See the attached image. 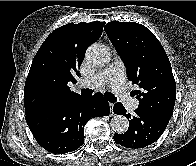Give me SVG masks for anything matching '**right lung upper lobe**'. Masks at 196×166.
Returning a JSON list of instances; mask_svg holds the SVG:
<instances>
[{
	"label": "right lung upper lobe",
	"mask_w": 196,
	"mask_h": 166,
	"mask_svg": "<svg viewBox=\"0 0 196 166\" xmlns=\"http://www.w3.org/2000/svg\"><path fill=\"white\" fill-rule=\"evenodd\" d=\"M105 22L68 23L54 30L36 53L24 87L25 114L72 100L68 82H76L87 48L102 34Z\"/></svg>",
	"instance_id": "1"
}]
</instances>
